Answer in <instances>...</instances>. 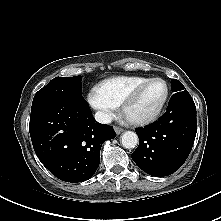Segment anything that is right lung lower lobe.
Segmentation results:
<instances>
[{"label": "right lung lower lobe", "mask_w": 221, "mask_h": 221, "mask_svg": "<svg viewBox=\"0 0 221 221\" xmlns=\"http://www.w3.org/2000/svg\"><path fill=\"white\" fill-rule=\"evenodd\" d=\"M29 131L40 161L54 176L71 183L93 176L102 144L116 136L111 126L96 122L83 97L57 99L31 109Z\"/></svg>", "instance_id": "1"}]
</instances>
